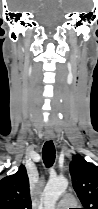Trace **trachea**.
<instances>
[{"label": "trachea", "mask_w": 98, "mask_h": 209, "mask_svg": "<svg viewBox=\"0 0 98 209\" xmlns=\"http://www.w3.org/2000/svg\"><path fill=\"white\" fill-rule=\"evenodd\" d=\"M42 158H43L44 164L47 167H50L53 165L55 161V147H54L52 140L47 141L44 144L43 150H42Z\"/></svg>", "instance_id": "trachea-1"}]
</instances>
